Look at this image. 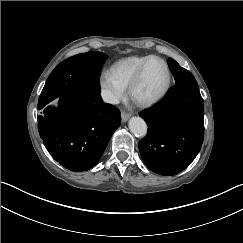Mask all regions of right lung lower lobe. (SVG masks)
<instances>
[{"label": "right lung lower lobe", "mask_w": 243, "mask_h": 243, "mask_svg": "<svg viewBox=\"0 0 243 243\" xmlns=\"http://www.w3.org/2000/svg\"><path fill=\"white\" fill-rule=\"evenodd\" d=\"M58 98L57 108L45 106L38 116L40 137L62 166L86 171L97 164L119 127L120 112L105 104L96 90L72 88Z\"/></svg>", "instance_id": "98d812e1"}]
</instances>
